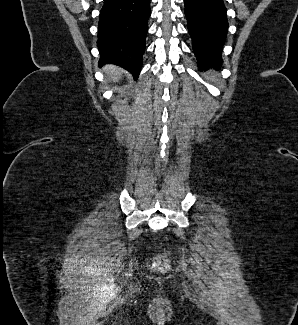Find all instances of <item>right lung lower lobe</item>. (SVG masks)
<instances>
[{"instance_id":"98d812e1","label":"right lung lower lobe","mask_w":298,"mask_h":325,"mask_svg":"<svg viewBox=\"0 0 298 325\" xmlns=\"http://www.w3.org/2000/svg\"><path fill=\"white\" fill-rule=\"evenodd\" d=\"M149 16L150 0H104L98 24L99 64L119 65L137 77Z\"/></svg>"}]
</instances>
